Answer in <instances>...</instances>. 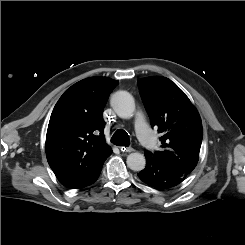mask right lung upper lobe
<instances>
[{
	"instance_id": "right-lung-upper-lobe-1",
	"label": "right lung upper lobe",
	"mask_w": 245,
	"mask_h": 245,
	"mask_svg": "<svg viewBox=\"0 0 245 245\" xmlns=\"http://www.w3.org/2000/svg\"><path fill=\"white\" fill-rule=\"evenodd\" d=\"M118 81L92 77L75 83L56 103L46 135V157L68 188L92 174L112 154L105 142L103 109Z\"/></svg>"
}]
</instances>
